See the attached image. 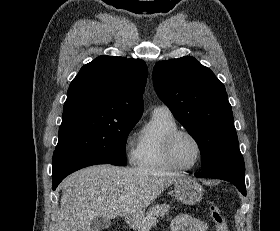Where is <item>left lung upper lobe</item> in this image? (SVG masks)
<instances>
[{"mask_svg":"<svg viewBox=\"0 0 280 231\" xmlns=\"http://www.w3.org/2000/svg\"><path fill=\"white\" fill-rule=\"evenodd\" d=\"M153 83L197 142L203 170L240 151L225 87L209 68L190 56L160 61L153 69Z\"/></svg>","mask_w":280,"mask_h":231,"instance_id":"5c2ea615","label":"left lung upper lobe"}]
</instances>
